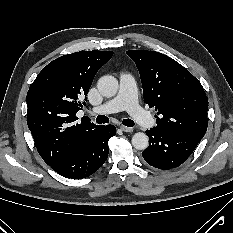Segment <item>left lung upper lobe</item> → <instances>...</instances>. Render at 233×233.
<instances>
[{
  "label": "left lung upper lobe",
  "instance_id": "left-lung-upper-lobe-1",
  "mask_svg": "<svg viewBox=\"0 0 233 233\" xmlns=\"http://www.w3.org/2000/svg\"><path fill=\"white\" fill-rule=\"evenodd\" d=\"M143 97L157 111L156 129L200 142L207 131L208 101L200 82L172 58L155 51L129 50Z\"/></svg>",
  "mask_w": 233,
  "mask_h": 233
}]
</instances>
